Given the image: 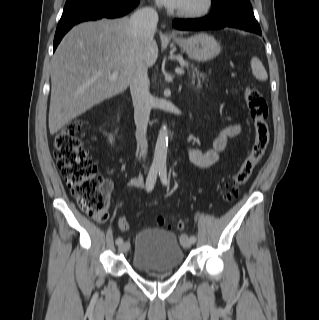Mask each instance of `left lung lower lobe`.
<instances>
[{
  "instance_id": "left-lung-lower-lobe-1",
  "label": "left lung lower lobe",
  "mask_w": 319,
  "mask_h": 320,
  "mask_svg": "<svg viewBox=\"0 0 319 320\" xmlns=\"http://www.w3.org/2000/svg\"><path fill=\"white\" fill-rule=\"evenodd\" d=\"M173 26L180 30L238 28L262 35L249 0H225L218 6L213 5L211 13L200 19L173 21Z\"/></svg>"
}]
</instances>
